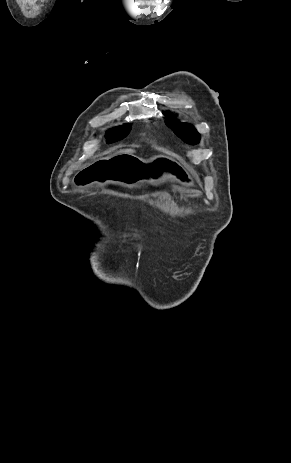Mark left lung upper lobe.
I'll use <instances>...</instances> for the list:
<instances>
[{
	"label": "left lung upper lobe",
	"instance_id": "left-lung-upper-lobe-1",
	"mask_svg": "<svg viewBox=\"0 0 291 463\" xmlns=\"http://www.w3.org/2000/svg\"><path fill=\"white\" fill-rule=\"evenodd\" d=\"M166 123L187 143L196 144L199 142L200 135L196 129L191 125L176 121L175 117L172 116L170 112L166 114Z\"/></svg>",
	"mask_w": 291,
	"mask_h": 463
}]
</instances>
